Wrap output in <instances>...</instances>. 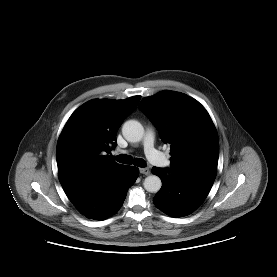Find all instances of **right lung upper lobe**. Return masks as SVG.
<instances>
[{
	"instance_id": "1",
	"label": "right lung upper lobe",
	"mask_w": 277,
	"mask_h": 277,
	"mask_svg": "<svg viewBox=\"0 0 277 277\" xmlns=\"http://www.w3.org/2000/svg\"><path fill=\"white\" fill-rule=\"evenodd\" d=\"M139 100L140 96L91 100L68 119L56 150L59 180L68 197L91 188L122 166L105 152L116 145L117 130Z\"/></svg>"
}]
</instances>
